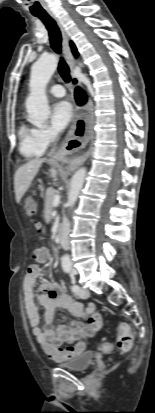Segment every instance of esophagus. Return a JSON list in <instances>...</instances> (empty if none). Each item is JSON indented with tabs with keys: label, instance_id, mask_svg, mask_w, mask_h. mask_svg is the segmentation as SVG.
Returning a JSON list of instances; mask_svg holds the SVG:
<instances>
[{
	"label": "esophagus",
	"instance_id": "obj_1",
	"mask_svg": "<svg viewBox=\"0 0 155 413\" xmlns=\"http://www.w3.org/2000/svg\"><path fill=\"white\" fill-rule=\"evenodd\" d=\"M48 14L57 22L58 27L61 31V35H62V48H63V53H64V57L65 60L68 64V66L70 67L71 70H73L74 68V60H73V56H72V52H71V48L69 45V39H68V35L65 31V29L63 28L62 24L60 23V21L56 18V16L52 13V12H48ZM73 85L78 88V87H82L80 81L76 78L73 77L72 79ZM82 115V109L76 108V120H78L80 118V116ZM73 133H70L69 135V139L71 138V136H73ZM71 143L72 141L69 142V140L62 146V152L64 154H67L69 152H72L75 148L71 147ZM76 147V146H74ZM91 154V147L89 148V150L84 153L81 156L75 157L72 159L69 168L71 170L76 169L78 166H80L81 164H83L87 158L90 156Z\"/></svg>",
	"mask_w": 155,
	"mask_h": 413
}]
</instances>
